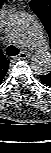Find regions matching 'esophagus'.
<instances>
[{
	"label": "esophagus",
	"instance_id": "1",
	"mask_svg": "<svg viewBox=\"0 0 51 153\" xmlns=\"http://www.w3.org/2000/svg\"><path fill=\"white\" fill-rule=\"evenodd\" d=\"M28 56H29V55H28L27 52L22 51V52H20V53L18 54L17 58H18V59H25V58H27Z\"/></svg>",
	"mask_w": 51,
	"mask_h": 153
}]
</instances>
